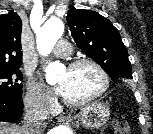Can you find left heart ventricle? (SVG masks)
<instances>
[{"label": "left heart ventricle", "mask_w": 153, "mask_h": 134, "mask_svg": "<svg viewBox=\"0 0 153 134\" xmlns=\"http://www.w3.org/2000/svg\"><path fill=\"white\" fill-rule=\"evenodd\" d=\"M101 77L90 65L66 69L58 77L63 87V96L70 100H81L95 93L101 86Z\"/></svg>", "instance_id": "left-heart-ventricle-1"}]
</instances>
